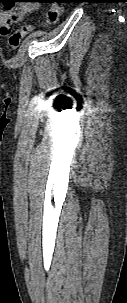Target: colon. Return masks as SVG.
<instances>
[{
  "label": "colon",
  "instance_id": "colon-1",
  "mask_svg": "<svg viewBox=\"0 0 127 303\" xmlns=\"http://www.w3.org/2000/svg\"><path fill=\"white\" fill-rule=\"evenodd\" d=\"M50 6L47 11L46 24L48 26L54 25L59 21L61 15V7L54 0H50ZM32 27L28 24L22 26L21 28L15 30L14 32L7 35L8 43L12 49L17 48L22 39L31 31Z\"/></svg>",
  "mask_w": 127,
  "mask_h": 303
}]
</instances>
